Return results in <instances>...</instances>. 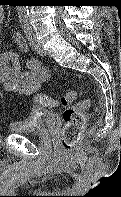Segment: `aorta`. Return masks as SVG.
Returning <instances> with one entry per match:
<instances>
[{
  "label": "aorta",
  "mask_w": 121,
  "mask_h": 197,
  "mask_svg": "<svg viewBox=\"0 0 121 197\" xmlns=\"http://www.w3.org/2000/svg\"><path fill=\"white\" fill-rule=\"evenodd\" d=\"M17 13L21 20L28 19V7L27 6H17Z\"/></svg>",
  "instance_id": "aorta-1"
}]
</instances>
